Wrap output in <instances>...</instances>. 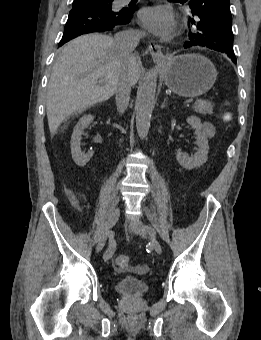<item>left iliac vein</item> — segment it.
Segmentation results:
<instances>
[{"label":"left iliac vein","instance_id":"left-iliac-vein-1","mask_svg":"<svg viewBox=\"0 0 261 340\" xmlns=\"http://www.w3.org/2000/svg\"><path fill=\"white\" fill-rule=\"evenodd\" d=\"M128 229H129L130 232H133L135 234L142 235V236H148L150 238V244L153 247V249L155 250V252L157 254L162 253V247H161L159 241L155 237L150 236L148 234V231L145 230L142 222H140L138 220L128 221Z\"/></svg>","mask_w":261,"mask_h":340}]
</instances>
